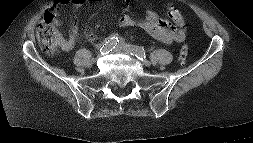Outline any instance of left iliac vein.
Wrapping results in <instances>:
<instances>
[{"label": "left iliac vein", "mask_w": 253, "mask_h": 143, "mask_svg": "<svg viewBox=\"0 0 253 143\" xmlns=\"http://www.w3.org/2000/svg\"><path fill=\"white\" fill-rule=\"evenodd\" d=\"M124 51L126 52V53H128V54H131L132 55V45H126L125 47H124ZM142 63L144 64V65H146V66H150V61H148V60H146V59H143L142 60Z\"/></svg>", "instance_id": "4c4485c4"}]
</instances>
